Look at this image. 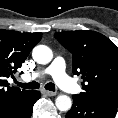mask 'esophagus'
I'll return each instance as SVG.
<instances>
[{"mask_svg":"<svg viewBox=\"0 0 118 118\" xmlns=\"http://www.w3.org/2000/svg\"><path fill=\"white\" fill-rule=\"evenodd\" d=\"M42 92L47 96H55L56 95V92H52V91H48V90H43Z\"/></svg>","mask_w":118,"mask_h":118,"instance_id":"34e87169","label":"esophagus"}]
</instances>
